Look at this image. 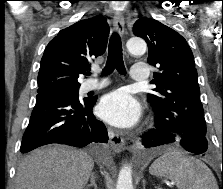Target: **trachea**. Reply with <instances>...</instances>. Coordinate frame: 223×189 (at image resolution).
I'll return each mask as SVG.
<instances>
[{"instance_id":"obj_1","label":"trachea","mask_w":223,"mask_h":189,"mask_svg":"<svg viewBox=\"0 0 223 189\" xmlns=\"http://www.w3.org/2000/svg\"><path fill=\"white\" fill-rule=\"evenodd\" d=\"M114 69L122 75L126 73L123 62L122 43L117 33H114L110 38L107 63L103 70V75L112 73ZM88 75H90V73Z\"/></svg>"}]
</instances>
